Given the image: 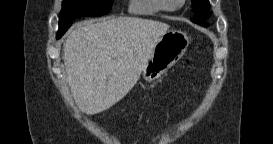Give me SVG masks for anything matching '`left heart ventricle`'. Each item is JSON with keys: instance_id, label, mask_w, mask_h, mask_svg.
Masks as SVG:
<instances>
[{"instance_id": "left-heart-ventricle-1", "label": "left heart ventricle", "mask_w": 273, "mask_h": 144, "mask_svg": "<svg viewBox=\"0 0 273 144\" xmlns=\"http://www.w3.org/2000/svg\"><path fill=\"white\" fill-rule=\"evenodd\" d=\"M178 3V0H170L169 1V5L172 6V5H175Z\"/></svg>"}]
</instances>
